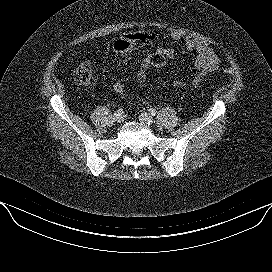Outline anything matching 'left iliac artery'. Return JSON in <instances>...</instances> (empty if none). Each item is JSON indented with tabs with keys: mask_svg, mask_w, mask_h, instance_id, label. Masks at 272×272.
<instances>
[{
	"mask_svg": "<svg viewBox=\"0 0 272 272\" xmlns=\"http://www.w3.org/2000/svg\"><path fill=\"white\" fill-rule=\"evenodd\" d=\"M149 112H150V114L153 115V116H155V115L157 114V110L154 109V108H150V109H149Z\"/></svg>",
	"mask_w": 272,
	"mask_h": 272,
	"instance_id": "left-iliac-artery-1",
	"label": "left iliac artery"
}]
</instances>
